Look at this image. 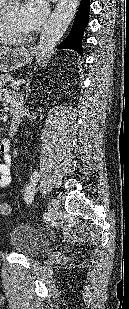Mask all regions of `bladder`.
Wrapping results in <instances>:
<instances>
[{
    "mask_svg": "<svg viewBox=\"0 0 129 309\" xmlns=\"http://www.w3.org/2000/svg\"><path fill=\"white\" fill-rule=\"evenodd\" d=\"M38 231L32 227L21 225L11 232V244L16 250L31 251L36 247Z\"/></svg>",
    "mask_w": 129,
    "mask_h": 309,
    "instance_id": "bladder-1",
    "label": "bladder"
}]
</instances>
